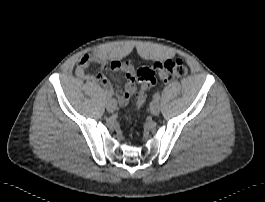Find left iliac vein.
Returning a JSON list of instances; mask_svg holds the SVG:
<instances>
[{"mask_svg":"<svg viewBox=\"0 0 265 202\" xmlns=\"http://www.w3.org/2000/svg\"><path fill=\"white\" fill-rule=\"evenodd\" d=\"M150 112L152 115H158L160 112V105L157 100H154L150 105Z\"/></svg>","mask_w":265,"mask_h":202,"instance_id":"1","label":"left iliac vein"}]
</instances>
